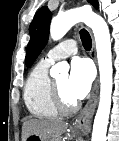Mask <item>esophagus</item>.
Listing matches in <instances>:
<instances>
[{
    "instance_id": "esophagus-1",
    "label": "esophagus",
    "mask_w": 119,
    "mask_h": 141,
    "mask_svg": "<svg viewBox=\"0 0 119 141\" xmlns=\"http://www.w3.org/2000/svg\"><path fill=\"white\" fill-rule=\"evenodd\" d=\"M90 56L96 63V50H95V44L94 40L92 43V49L90 52ZM98 92H99V77L96 78L89 99L84 106L81 113L75 118L73 121V128L81 132L82 134H88L91 130V124H92V117L98 102Z\"/></svg>"
}]
</instances>
